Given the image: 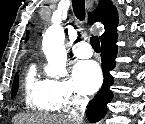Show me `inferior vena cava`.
Segmentation results:
<instances>
[{
    "instance_id": "obj_1",
    "label": "inferior vena cava",
    "mask_w": 145,
    "mask_h": 124,
    "mask_svg": "<svg viewBox=\"0 0 145 124\" xmlns=\"http://www.w3.org/2000/svg\"><path fill=\"white\" fill-rule=\"evenodd\" d=\"M87 103V100H79L76 104L77 109L70 116V118L75 122V124H82L84 111L86 109Z\"/></svg>"
}]
</instances>
